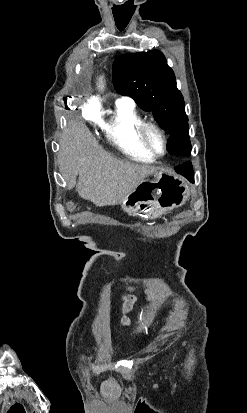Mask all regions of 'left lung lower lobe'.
I'll return each instance as SVG.
<instances>
[{"label": "left lung lower lobe", "instance_id": "left-lung-lower-lobe-1", "mask_svg": "<svg viewBox=\"0 0 247 413\" xmlns=\"http://www.w3.org/2000/svg\"><path fill=\"white\" fill-rule=\"evenodd\" d=\"M175 171L184 177H186L190 182H194V173H193V167L190 162H187L183 165L177 166L175 168Z\"/></svg>", "mask_w": 247, "mask_h": 413}]
</instances>
